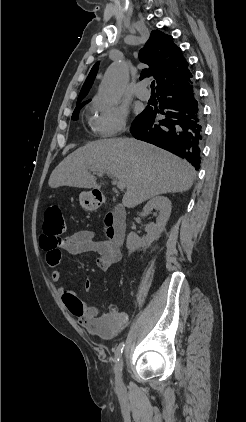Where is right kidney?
<instances>
[{"instance_id": "obj_1", "label": "right kidney", "mask_w": 246, "mask_h": 422, "mask_svg": "<svg viewBox=\"0 0 246 422\" xmlns=\"http://www.w3.org/2000/svg\"><path fill=\"white\" fill-rule=\"evenodd\" d=\"M171 208V201L164 196H156L147 202L142 216H147L153 209L159 211V216L156 223L146 226L147 235L144 238L140 239L134 232L128 234L126 245L130 252H135L139 248L146 249L160 237L170 217Z\"/></svg>"}]
</instances>
